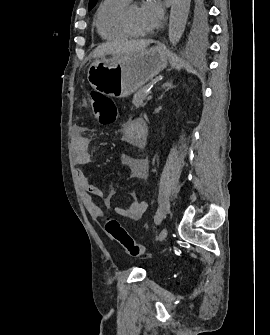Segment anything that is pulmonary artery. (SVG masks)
I'll list each match as a JSON object with an SVG mask.
<instances>
[{"label":"pulmonary artery","mask_w":270,"mask_h":335,"mask_svg":"<svg viewBox=\"0 0 270 335\" xmlns=\"http://www.w3.org/2000/svg\"><path fill=\"white\" fill-rule=\"evenodd\" d=\"M122 1L127 2V3L132 2V0H122Z\"/></svg>","instance_id":"1"}]
</instances>
